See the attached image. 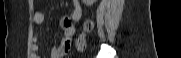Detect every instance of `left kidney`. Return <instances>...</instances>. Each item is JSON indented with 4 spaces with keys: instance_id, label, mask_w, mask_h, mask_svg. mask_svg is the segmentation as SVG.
<instances>
[{
    "instance_id": "1",
    "label": "left kidney",
    "mask_w": 181,
    "mask_h": 58,
    "mask_svg": "<svg viewBox=\"0 0 181 58\" xmlns=\"http://www.w3.org/2000/svg\"><path fill=\"white\" fill-rule=\"evenodd\" d=\"M86 6H91L96 0H82Z\"/></svg>"
}]
</instances>
